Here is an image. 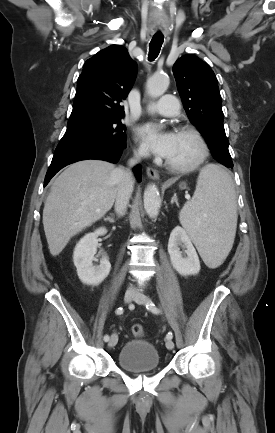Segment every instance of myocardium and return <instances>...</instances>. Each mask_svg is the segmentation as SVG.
<instances>
[{
    "instance_id": "obj_1",
    "label": "myocardium",
    "mask_w": 275,
    "mask_h": 433,
    "mask_svg": "<svg viewBox=\"0 0 275 433\" xmlns=\"http://www.w3.org/2000/svg\"><path fill=\"white\" fill-rule=\"evenodd\" d=\"M177 133L188 134V135L193 136L198 141V143L200 145V156L194 163L187 165V166L175 165L168 160H165V165L168 169H170L173 172H177V173H181V174L192 173V172L196 171L197 169H199L204 164L206 159L208 158L209 152H210L209 144H208L205 136L198 129H196L194 127H191V126L180 127L177 130Z\"/></svg>"
}]
</instances>
